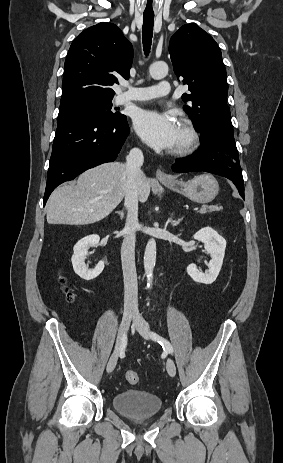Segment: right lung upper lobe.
Here are the masks:
<instances>
[{"instance_id": "cb5924a9", "label": "right lung upper lobe", "mask_w": 283, "mask_h": 463, "mask_svg": "<svg viewBox=\"0 0 283 463\" xmlns=\"http://www.w3.org/2000/svg\"><path fill=\"white\" fill-rule=\"evenodd\" d=\"M133 48L112 23L89 27L72 42L64 65L60 108L92 98H113L118 76L129 78Z\"/></svg>"}]
</instances>
